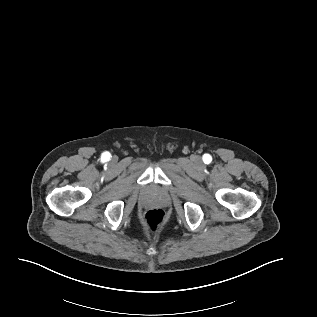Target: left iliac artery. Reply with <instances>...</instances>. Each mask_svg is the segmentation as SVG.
<instances>
[{
	"mask_svg": "<svg viewBox=\"0 0 317 317\" xmlns=\"http://www.w3.org/2000/svg\"><path fill=\"white\" fill-rule=\"evenodd\" d=\"M203 160H204V162L205 163H210L211 162V160H212V158H211V156L210 155H205L204 157H203Z\"/></svg>",
	"mask_w": 317,
	"mask_h": 317,
	"instance_id": "44dca946",
	"label": "left iliac artery"
}]
</instances>
